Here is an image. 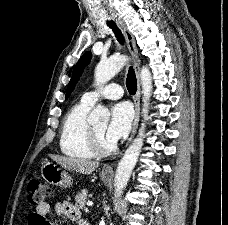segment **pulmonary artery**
Wrapping results in <instances>:
<instances>
[{
  "label": "pulmonary artery",
  "instance_id": "1",
  "mask_svg": "<svg viewBox=\"0 0 228 225\" xmlns=\"http://www.w3.org/2000/svg\"><path fill=\"white\" fill-rule=\"evenodd\" d=\"M123 95V90L119 87L117 90V85H105V89L97 90V91H90L86 92L82 95L81 100L93 105L95 104L99 98H107V99H118L122 97Z\"/></svg>",
  "mask_w": 228,
  "mask_h": 225
}]
</instances>
